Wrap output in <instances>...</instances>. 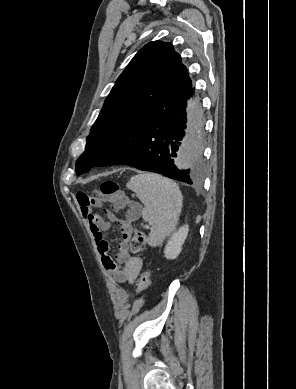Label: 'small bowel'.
<instances>
[{
    "mask_svg": "<svg viewBox=\"0 0 296 389\" xmlns=\"http://www.w3.org/2000/svg\"><path fill=\"white\" fill-rule=\"evenodd\" d=\"M82 217L87 222L89 229L95 239L102 265L111 279L121 284H132L142 267V260L129 253L128 241L132 233V221L138 213L135 204L126 199L113 205L112 209H106L105 214L108 220L93 212V206L101 207L104 200L100 196L91 197L85 193L77 195ZM127 207L125 218H119L116 212ZM110 222H116L120 227L121 242L118 244V251L114 257L109 255V243L103 233L110 227Z\"/></svg>",
    "mask_w": 296,
    "mask_h": 389,
    "instance_id": "small-bowel-1",
    "label": "small bowel"
}]
</instances>
